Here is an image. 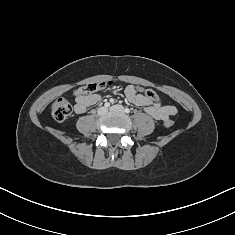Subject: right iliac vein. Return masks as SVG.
<instances>
[{"instance_id":"1","label":"right iliac vein","mask_w":235,"mask_h":235,"mask_svg":"<svg viewBox=\"0 0 235 235\" xmlns=\"http://www.w3.org/2000/svg\"><path fill=\"white\" fill-rule=\"evenodd\" d=\"M106 113H107V108H105V107H100V108L98 109V114H99L100 116L105 115Z\"/></svg>"}]
</instances>
